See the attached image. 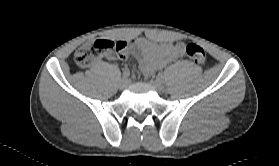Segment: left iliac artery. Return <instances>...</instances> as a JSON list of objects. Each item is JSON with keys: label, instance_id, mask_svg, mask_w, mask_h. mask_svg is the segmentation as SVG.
I'll return each instance as SVG.
<instances>
[{"label": "left iliac artery", "instance_id": "left-iliac-artery-1", "mask_svg": "<svg viewBox=\"0 0 279 166\" xmlns=\"http://www.w3.org/2000/svg\"><path fill=\"white\" fill-rule=\"evenodd\" d=\"M157 79H159V80H161V81H162V80L164 79L163 74H158Z\"/></svg>", "mask_w": 279, "mask_h": 166}]
</instances>
